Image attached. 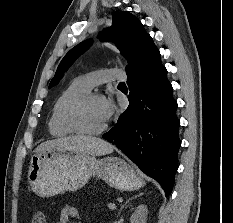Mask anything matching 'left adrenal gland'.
<instances>
[{"instance_id":"1","label":"left adrenal gland","mask_w":233,"mask_h":223,"mask_svg":"<svg viewBox=\"0 0 233 223\" xmlns=\"http://www.w3.org/2000/svg\"><path fill=\"white\" fill-rule=\"evenodd\" d=\"M139 195H143V193H139ZM139 195H134V197H139ZM134 197H129V199H127V201H125V203H123V205H121V207L118 211V215H120L121 209H123V207H125V205H127V203H129L130 199H134Z\"/></svg>"}]
</instances>
